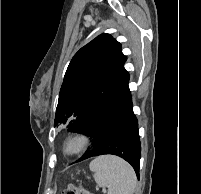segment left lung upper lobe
Wrapping results in <instances>:
<instances>
[{
	"label": "left lung upper lobe",
	"instance_id": "5c2ea615",
	"mask_svg": "<svg viewBox=\"0 0 201 194\" xmlns=\"http://www.w3.org/2000/svg\"><path fill=\"white\" fill-rule=\"evenodd\" d=\"M121 44L103 33L72 58L59 93L54 126L80 132L120 88L129 74Z\"/></svg>",
	"mask_w": 201,
	"mask_h": 194
}]
</instances>
